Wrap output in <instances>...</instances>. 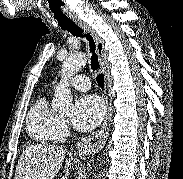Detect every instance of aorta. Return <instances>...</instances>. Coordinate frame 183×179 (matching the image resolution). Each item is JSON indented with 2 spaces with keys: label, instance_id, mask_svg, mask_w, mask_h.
Returning <instances> with one entry per match:
<instances>
[{
  "label": "aorta",
  "instance_id": "762f6f07",
  "mask_svg": "<svg viewBox=\"0 0 183 179\" xmlns=\"http://www.w3.org/2000/svg\"><path fill=\"white\" fill-rule=\"evenodd\" d=\"M87 63L85 53L68 56L62 64L61 80L56 87L52 108L60 112H69L73 108V97L69 88V79L78 73Z\"/></svg>",
  "mask_w": 183,
  "mask_h": 179
}]
</instances>
